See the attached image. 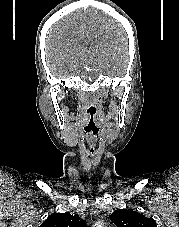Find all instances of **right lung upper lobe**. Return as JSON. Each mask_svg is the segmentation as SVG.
<instances>
[{
	"label": "right lung upper lobe",
	"instance_id": "cb5924a9",
	"mask_svg": "<svg viewBox=\"0 0 179 227\" xmlns=\"http://www.w3.org/2000/svg\"><path fill=\"white\" fill-rule=\"evenodd\" d=\"M39 227H87L83 219L78 215H71L70 213H54L48 216V218Z\"/></svg>",
	"mask_w": 179,
	"mask_h": 227
}]
</instances>
